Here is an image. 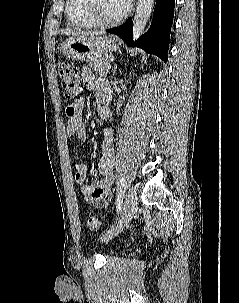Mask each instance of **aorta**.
<instances>
[{
    "instance_id": "aorta-1",
    "label": "aorta",
    "mask_w": 239,
    "mask_h": 303,
    "mask_svg": "<svg viewBox=\"0 0 239 303\" xmlns=\"http://www.w3.org/2000/svg\"><path fill=\"white\" fill-rule=\"evenodd\" d=\"M155 0H138L133 20V38L137 39L145 30L153 11Z\"/></svg>"
}]
</instances>
